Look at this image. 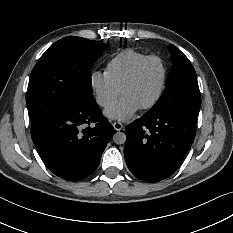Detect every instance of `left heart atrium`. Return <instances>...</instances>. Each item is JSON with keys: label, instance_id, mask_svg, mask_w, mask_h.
<instances>
[{"label": "left heart atrium", "instance_id": "left-heart-atrium-1", "mask_svg": "<svg viewBox=\"0 0 233 233\" xmlns=\"http://www.w3.org/2000/svg\"><path fill=\"white\" fill-rule=\"evenodd\" d=\"M140 109L138 102L131 97L124 96L116 105L106 109L103 114L110 120L124 122L132 118Z\"/></svg>", "mask_w": 233, "mask_h": 233}]
</instances>
